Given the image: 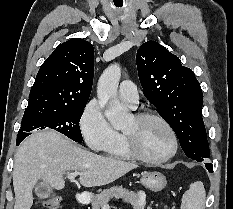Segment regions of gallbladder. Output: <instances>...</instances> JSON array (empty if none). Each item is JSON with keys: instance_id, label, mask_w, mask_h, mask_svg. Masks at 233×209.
<instances>
[{"instance_id": "bac80fb5", "label": "gallbladder", "mask_w": 233, "mask_h": 209, "mask_svg": "<svg viewBox=\"0 0 233 209\" xmlns=\"http://www.w3.org/2000/svg\"><path fill=\"white\" fill-rule=\"evenodd\" d=\"M35 193L41 199L47 198L50 195L54 194L52 188L42 182H39L35 185Z\"/></svg>"}]
</instances>
